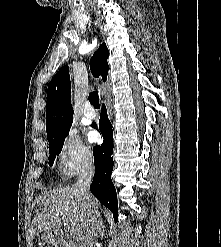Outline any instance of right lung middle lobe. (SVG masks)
<instances>
[{
  "label": "right lung middle lobe",
  "instance_id": "right-lung-middle-lobe-1",
  "mask_svg": "<svg viewBox=\"0 0 221 247\" xmlns=\"http://www.w3.org/2000/svg\"><path fill=\"white\" fill-rule=\"evenodd\" d=\"M70 126H68L63 132H61L60 134L47 138L48 142H49V152H50V156H49V165H53V161L56 157V155H59L63 144H64V140L67 137V135L69 134V130H70Z\"/></svg>",
  "mask_w": 221,
  "mask_h": 247
}]
</instances>
